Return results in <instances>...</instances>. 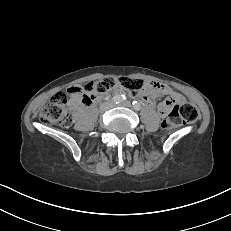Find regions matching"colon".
<instances>
[{
	"label": "colon",
	"instance_id": "1",
	"mask_svg": "<svg viewBox=\"0 0 231 231\" xmlns=\"http://www.w3.org/2000/svg\"><path fill=\"white\" fill-rule=\"evenodd\" d=\"M121 87L130 95L137 96L143 93H155V86H149L144 80L132 77H106L101 80L88 82L80 87L83 93L82 102L75 101L70 92L69 98L66 93H59L53 97L39 113L41 123L45 125H58L68 127L72 124L73 113L82 105H91L95 97L104 94L112 88ZM163 128L170 130L182 122L192 123L199 117L198 109L191 103H171L165 112Z\"/></svg>",
	"mask_w": 231,
	"mask_h": 231
}]
</instances>
